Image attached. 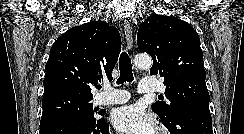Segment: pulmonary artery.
<instances>
[{"label":"pulmonary artery","mask_w":244,"mask_h":134,"mask_svg":"<svg viewBox=\"0 0 244 134\" xmlns=\"http://www.w3.org/2000/svg\"><path fill=\"white\" fill-rule=\"evenodd\" d=\"M139 92H165V86L153 79L144 78L139 84ZM129 98L130 95L127 91L118 90L106 85L104 86V92L96 97V103L99 105L121 104L127 102Z\"/></svg>","instance_id":"e3ab8cb5"}]
</instances>
